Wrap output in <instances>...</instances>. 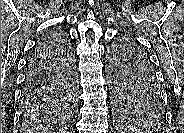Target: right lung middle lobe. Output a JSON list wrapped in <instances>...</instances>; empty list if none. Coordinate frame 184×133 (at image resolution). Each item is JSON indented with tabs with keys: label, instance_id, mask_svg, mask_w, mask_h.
Instances as JSON below:
<instances>
[{
	"label": "right lung middle lobe",
	"instance_id": "1",
	"mask_svg": "<svg viewBox=\"0 0 184 133\" xmlns=\"http://www.w3.org/2000/svg\"><path fill=\"white\" fill-rule=\"evenodd\" d=\"M45 35L55 37L64 46V49L61 51V59L63 61L62 79L56 84V90L51 94L49 100H22V110L26 117L38 116L52 110L72 108L75 104L76 71L72 51L63 33L51 31Z\"/></svg>",
	"mask_w": 184,
	"mask_h": 133
}]
</instances>
